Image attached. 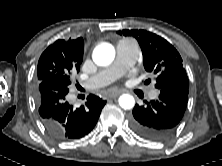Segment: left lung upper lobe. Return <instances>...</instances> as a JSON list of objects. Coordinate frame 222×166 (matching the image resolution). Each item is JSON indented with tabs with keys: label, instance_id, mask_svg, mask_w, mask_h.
<instances>
[{
	"label": "left lung upper lobe",
	"instance_id": "left-lung-upper-lobe-1",
	"mask_svg": "<svg viewBox=\"0 0 222 166\" xmlns=\"http://www.w3.org/2000/svg\"><path fill=\"white\" fill-rule=\"evenodd\" d=\"M118 34L133 36L139 42L143 64L148 72L157 74L155 87L180 85L189 88V80L178 51L164 38L146 30H122Z\"/></svg>",
	"mask_w": 222,
	"mask_h": 166
}]
</instances>
